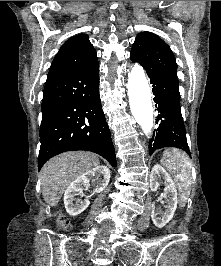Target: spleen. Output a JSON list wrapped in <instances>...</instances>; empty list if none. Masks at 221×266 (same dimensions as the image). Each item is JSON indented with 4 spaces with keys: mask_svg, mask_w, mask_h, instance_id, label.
<instances>
[{
    "mask_svg": "<svg viewBox=\"0 0 221 266\" xmlns=\"http://www.w3.org/2000/svg\"><path fill=\"white\" fill-rule=\"evenodd\" d=\"M161 163L172 173L181 195L180 199L186 203L192 184V164L188 155L175 148L166 149Z\"/></svg>",
    "mask_w": 221,
    "mask_h": 266,
    "instance_id": "obj_1",
    "label": "spleen"
}]
</instances>
